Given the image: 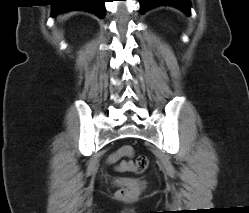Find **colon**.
<instances>
[{
  "instance_id": "colon-1",
  "label": "colon",
  "mask_w": 249,
  "mask_h": 213,
  "mask_svg": "<svg viewBox=\"0 0 249 213\" xmlns=\"http://www.w3.org/2000/svg\"><path fill=\"white\" fill-rule=\"evenodd\" d=\"M133 154V148L129 145H124L120 147L118 150L113 152L108 161L110 163H114L119 160L122 156H130ZM148 165V159L145 156H139L134 162H122L118 166V170L120 171H133L135 173H142ZM139 192V188L136 185H127L119 189L117 195L119 198L123 200H132L134 199Z\"/></svg>"
}]
</instances>
